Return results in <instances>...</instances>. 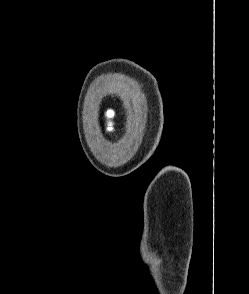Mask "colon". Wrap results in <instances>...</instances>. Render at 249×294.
Segmentation results:
<instances>
[{
	"label": "colon",
	"mask_w": 249,
	"mask_h": 294,
	"mask_svg": "<svg viewBox=\"0 0 249 294\" xmlns=\"http://www.w3.org/2000/svg\"><path fill=\"white\" fill-rule=\"evenodd\" d=\"M106 116L109 117V112L106 113Z\"/></svg>",
	"instance_id": "colon-1"
}]
</instances>
